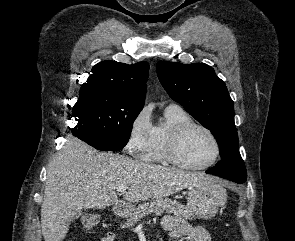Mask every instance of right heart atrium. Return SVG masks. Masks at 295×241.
Listing matches in <instances>:
<instances>
[{"label":"right heart atrium","instance_id":"right-heart-atrium-1","mask_svg":"<svg viewBox=\"0 0 295 241\" xmlns=\"http://www.w3.org/2000/svg\"><path fill=\"white\" fill-rule=\"evenodd\" d=\"M152 130L149 111L143 108L131 119L126 142L127 151L132 155H142L149 145Z\"/></svg>","mask_w":295,"mask_h":241}]
</instances>
